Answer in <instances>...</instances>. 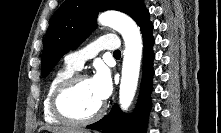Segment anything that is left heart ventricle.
I'll use <instances>...</instances> for the list:
<instances>
[{"instance_id": "b2bd125f", "label": "left heart ventricle", "mask_w": 221, "mask_h": 133, "mask_svg": "<svg viewBox=\"0 0 221 133\" xmlns=\"http://www.w3.org/2000/svg\"><path fill=\"white\" fill-rule=\"evenodd\" d=\"M102 101L94 92L90 79L78 83L63 99L65 110L78 118H85L95 113Z\"/></svg>"}]
</instances>
